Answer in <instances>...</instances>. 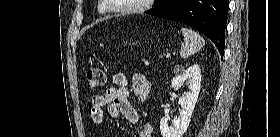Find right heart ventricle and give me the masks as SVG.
I'll return each mask as SVG.
<instances>
[{"mask_svg":"<svg viewBox=\"0 0 280 137\" xmlns=\"http://www.w3.org/2000/svg\"><path fill=\"white\" fill-rule=\"evenodd\" d=\"M97 10H98L99 12H102V13L106 12L105 8H104L102 5H99V6L97 7Z\"/></svg>","mask_w":280,"mask_h":137,"instance_id":"right-heart-ventricle-1","label":"right heart ventricle"}]
</instances>
